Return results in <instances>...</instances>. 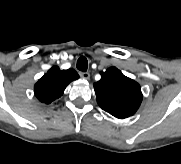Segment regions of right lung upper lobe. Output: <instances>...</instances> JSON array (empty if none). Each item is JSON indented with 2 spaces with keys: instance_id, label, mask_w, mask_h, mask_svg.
<instances>
[{
  "instance_id": "1",
  "label": "right lung upper lobe",
  "mask_w": 181,
  "mask_h": 164,
  "mask_svg": "<svg viewBox=\"0 0 181 164\" xmlns=\"http://www.w3.org/2000/svg\"><path fill=\"white\" fill-rule=\"evenodd\" d=\"M78 78L74 69L60 70L58 66H53L35 84V96L40 102L49 104L62 96L66 86Z\"/></svg>"
}]
</instances>
